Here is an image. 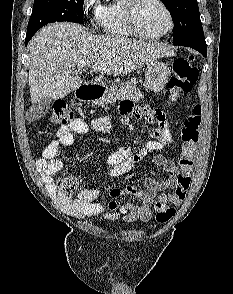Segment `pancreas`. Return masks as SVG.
I'll list each match as a JSON object with an SVG mask.
<instances>
[{
  "label": "pancreas",
  "instance_id": "cf45deb5",
  "mask_svg": "<svg viewBox=\"0 0 233 294\" xmlns=\"http://www.w3.org/2000/svg\"><path fill=\"white\" fill-rule=\"evenodd\" d=\"M121 98L138 101L143 98V94L133 83L111 85L105 90V97L98 103H107Z\"/></svg>",
  "mask_w": 233,
  "mask_h": 294
}]
</instances>
